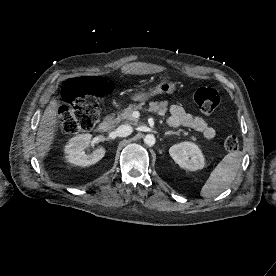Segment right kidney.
<instances>
[{"label":"right kidney","mask_w":276,"mask_h":276,"mask_svg":"<svg viewBox=\"0 0 276 276\" xmlns=\"http://www.w3.org/2000/svg\"><path fill=\"white\" fill-rule=\"evenodd\" d=\"M91 137L90 134H80L71 138L64 149L66 161L73 165L85 167L101 160L106 153L104 148L100 147L89 155L83 151L89 145Z\"/></svg>","instance_id":"obj_1"}]
</instances>
